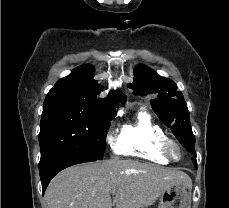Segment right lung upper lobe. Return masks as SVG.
<instances>
[{"mask_svg":"<svg viewBox=\"0 0 229 208\" xmlns=\"http://www.w3.org/2000/svg\"><path fill=\"white\" fill-rule=\"evenodd\" d=\"M94 68L90 64L79 66L60 79L47 94L44 105L65 104L75 106L89 115L112 120L119 103L125 102L120 91L111 92L105 99H97L102 86L93 79Z\"/></svg>","mask_w":229,"mask_h":208,"instance_id":"right-lung-upper-lobe-1","label":"right lung upper lobe"}]
</instances>
